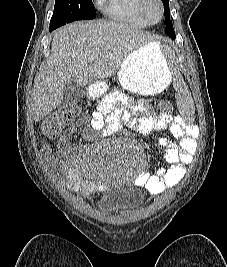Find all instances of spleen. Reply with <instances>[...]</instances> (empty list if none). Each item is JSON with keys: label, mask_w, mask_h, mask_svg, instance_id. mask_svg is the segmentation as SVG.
<instances>
[{"label": "spleen", "mask_w": 227, "mask_h": 267, "mask_svg": "<svg viewBox=\"0 0 227 267\" xmlns=\"http://www.w3.org/2000/svg\"><path fill=\"white\" fill-rule=\"evenodd\" d=\"M156 41H170V36H156ZM154 47H168L165 50V55H176L174 42H154ZM176 81H187V76H176ZM173 86L178 93H174V98H186V100H174V105H193V93H187L189 82H174ZM177 111L180 115H195L194 106H177ZM183 121H186V125H193V121L197 120L196 116H183Z\"/></svg>", "instance_id": "spleen-1"}]
</instances>
